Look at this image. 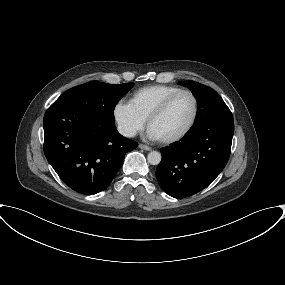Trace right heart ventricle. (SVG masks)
I'll return each mask as SVG.
<instances>
[{"label": "right heart ventricle", "mask_w": 285, "mask_h": 285, "mask_svg": "<svg viewBox=\"0 0 285 285\" xmlns=\"http://www.w3.org/2000/svg\"><path fill=\"white\" fill-rule=\"evenodd\" d=\"M179 90H181L179 87L171 85L146 86L133 92L129 103L136 113L146 121L151 112L160 103Z\"/></svg>", "instance_id": "obj_1"}]
</instances>
